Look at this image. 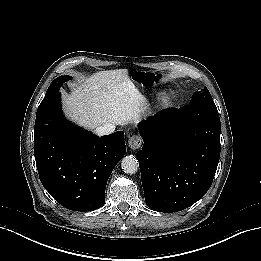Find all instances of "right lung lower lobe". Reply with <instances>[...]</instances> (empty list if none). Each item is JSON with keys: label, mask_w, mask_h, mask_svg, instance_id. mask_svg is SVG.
<instances>
[{"label": "right lung lower lobe", "mask_w": 261, "mask_h": 261, "mask_svg": "<svg viewBox=\"0 0 261 261\" xmlns=\"http://www.w3.org/2000/svg\"><path fill=\"white\" fill-rule=\"evenodd\" d=\"M125 152L123 131L99 138L68 122L62 114L60 92L37 110L34 154L39 177L67 209L100 208L107 180Z\"/></svg>", "instance_id": "1"}]
</instances>
